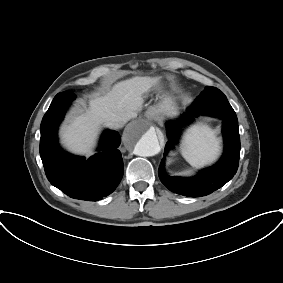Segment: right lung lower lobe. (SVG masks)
<instances>
[{
    "label": "right lung lower lobe",
    "instance_id": "right-lung-lower-lobe-1",
    "mask_svg": "<svg viewBox=\"0 0 283 283\" xmlns=\"http://www.w3.org/2000/svg\"><path fill=\"white\" fill-rule=\"evenodd\" d=\"M75 99L72 92L58 93L41 122L40 156L49 182L71 198L97 201L112 193L120 183L124 167L120 136L106 131L99 150L89 158L67 154L60 149L57 128L67 106Z\"/></svg>",
    "mask_w": 283,
    "mask_h": 283
}]
</instances>
